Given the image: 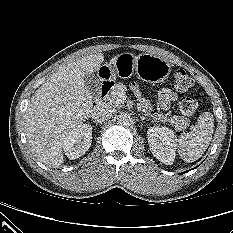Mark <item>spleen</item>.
Returning a JSON list of instances; mask_svg holds the SVG:
<instances>
[{
  "label": "spleen",
  "mask_w": 233,
  "mask_h": 233,
  "mask_svg": "<svg viewBox=\"0 0 233 233\" xmlns=\"http://www.w3.org/2000/svg\"><path fill=\"white\" fill-rule=\"evenodd\" d=\"M213 130V114L204 112L199 116L193 130L181 135L178 139L176 148L180 157L188 163L199 159L209 146Z\"/></svg>",
  "instance_id": "spleen-1"
}]
</instances>
